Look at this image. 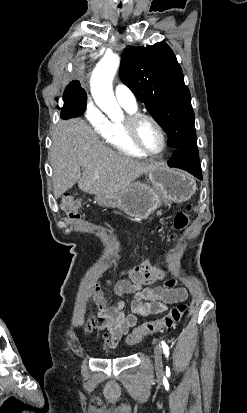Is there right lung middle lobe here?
I'll return each mask as SVG.
<instances>
[{"label": "right lung middle lobe", "instance_id": "obj_1", "mask_svg": "<svg viewBox=\"0 0 247 413\" xmlns=\"http://www.w3.org/2000/svg\"><path fill=\"white\" fill-rule=\"evenodd\" d=\"M64 106L78 117L86 110L87 96L79 81H72L64 91Z\"/></svg>", "mask_w": 247, "mask_h": 413}]
</instances>
